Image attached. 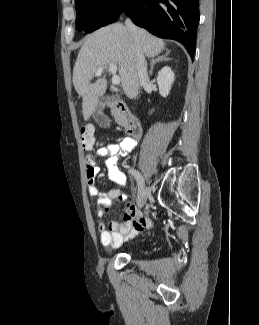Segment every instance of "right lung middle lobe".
Masks as SVG:
<instances>
[{
  "label": "right lung middle lobe",
  "instance_id": "1",
  "mask_svg": "<svg viewBox=\"0 0 259 325\" xmlns=\"http://www.w3.org/2000/svg\"><path fill=\"white\" fill-rule=\"evenodd\" d=\"M127 0H75L76 28L87 33L117 21Z\"/></svg>",
  "mask_w": 259,
  "mask_h": 325
}]
</instances>
